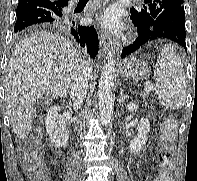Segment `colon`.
Instances as JSON below:
<instances>
[{
  "label": "colon",
  "mask_w": 197,
  "mask_h": 181,
  "mask_svg": "<svg viewBox=\"0 0 197 181\" xmlns=\"http://www.w3.org/2000/svg\"><path fill=\"white\" fill-rule=\"evenodd\" d=\"M176 124L174 120L167 119L163 123L161 147L159 151V172L154 181H171L173 170V158L171 148L175 139ZM26 173L34 181H46L47 174L42 167L41 157L35 148L26 151L23 162Z\"/></svg>",
  "instance_id": "1"
}]
</instances>
